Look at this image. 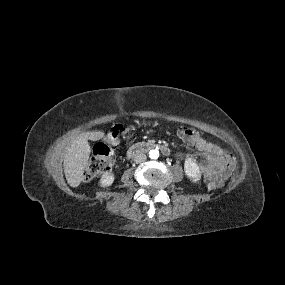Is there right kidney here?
<instances>
[{
    "label": "right kidney",
    "mask_w": 285,
    "mask_h": 285,
    "mask_svg": "<svg viewBox=\"0 0 285 285\" xmlns=\"http://www.w3.org/2000/svg\"><path fill=\"white\" fill-rule=\"evenodd\" d=\"M115 180V176L113 174H107L103 176L100 180V185L102 187L110 186Z\"/></svg>",
    "instance_id": "right-kidney-1"
}]
</instances>
